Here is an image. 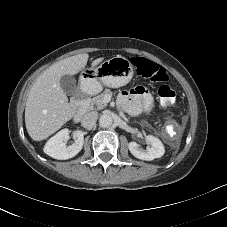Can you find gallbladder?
Listing matches in <instances>:
<instances>
[{
  "instance_id": "1",
  "label": "gallbladder",
  "mask_w": 227,
  "mask_h": 227,
  "mask_svg": "<svg viewBox=\"0 0 227 227\" xmlns=\"http://www.w3.org/2000/svg\"><path fill=\"white\" fill-rule=\"evenodd\" d=\"M60 86L63 91L69 96L74 95L78 92L76 79L72 75H63L60 79Z\"/></svg>"
}]
</instances>
